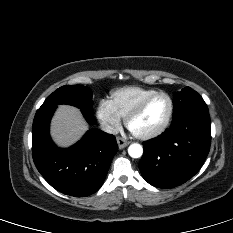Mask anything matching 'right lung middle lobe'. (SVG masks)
<instances>
[{
  "label": "right lung middle lobe",
  "instance_id": "1",
  "mask_svg": "<svg viewBox=\"0 0 233 233\" xmlns=\"http://www.w3.org/2000/svg\"><path fill=\"white\" fill-rule=\"evenodd\" d=\"M60 104H69L82 111L93 112L91 89L83 85H65L54 91L39 109L57 107Z\"/></svg>",
  "mask_w": 233,
  "mask_h": 233
}]
</instances>
